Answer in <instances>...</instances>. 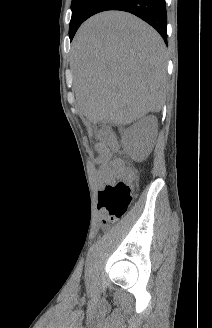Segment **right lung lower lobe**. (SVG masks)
Returning a JSON list of instances; mask_svg holds the SVG:
<instances>
[{"instance_id":"1","label":"right lung lower lobe","mask_w":212,"mask_h":328,"mask_svg":"<svg viewBox=\"0 0 212 328\" xmlns=\"http://www.w3.org/2000/svg\"><path fill=\"white\" fill-rule=\"evenodd\" d=\"M107 10L130 12L154 27L167 43V15L165 0H95L86 19Z\"/></svg>"}]
</instances>
